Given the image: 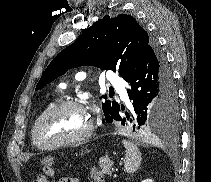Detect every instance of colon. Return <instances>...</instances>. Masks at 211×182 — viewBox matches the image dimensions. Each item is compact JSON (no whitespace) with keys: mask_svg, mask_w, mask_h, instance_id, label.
<instances>
[{"mask_svg":"<svg viewBox=\"0 0 211 182\" xmlns=\"http://www.w3.org/2000/svg\"><path fill=\"white\" fill-rule=\"evenodd\" d=\"M43 172L46 176H52L53 168L49 165H46L43 167ZM91 176L95 182H103L104 180L103 174L97 168L92 169ZM34 182H46V178L44 175H39L35 178Z\"/></svg>","mask_w":211,"mask_h":182,"instance_id":"5ec220e1","label":"colon"}]
</instances>
